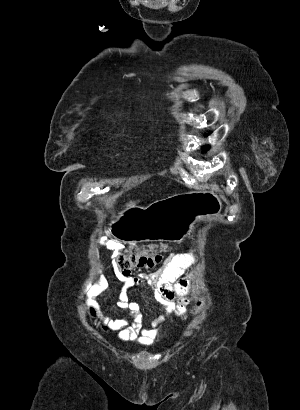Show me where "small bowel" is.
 <instances>
[{
	"mask_svg": "<svg viewBox=\"0 0 300 410\" xmlns=\"http://www.w3.org/2000/svg\"><path fill=\"white\" fill-rule=\"evenodd\" d=\"M195 261L196 255L190 251L168 255L163 266L150 274L130 277L115 272L116 278L123 283L117 307L129 311L128 318L106 317L97 302L93 300L101 287L108 283L106 276H102L98 284L87 281L88 300L86 306L88 316L100 321L104 331H118L117 338L120 341L137 342L143 346L152 345L164 329V320L167 315L183 316L186 313L193 277L192 274H186V271L194 265ZM134 286L148 290L164 309L165 315L159 316L149 327H142V304L128 300L127 290Z\"/></svg>",
	"mask_w": 300,
	"mask_h": 410,
	"instance_id": "1",
	"label": "small bowel"
}]
</instances>
